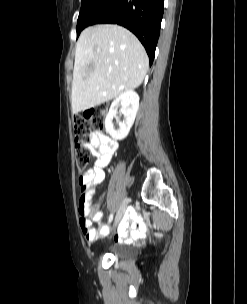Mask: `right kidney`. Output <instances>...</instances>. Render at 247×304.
<instances>
[{
	"mask_svg": "<svg viewBox=\"0 0 247 304\" xmlns=\"http://www.w3.org/2000/svg\"><path fill=\"white\" fill-rule=\"evenodd\" d=\"M118 106L121 107L120 112L124 115V120L119 121V129H115L113 118L117 114ZM139 107V96L133 90H127L121 93L111 104L109 112L105 118V129L115 140H123L127 137L132 127L136 113Z\"/></svg>",
	"mask_w": 247,
	"mask_h": 304,
	"instance_id": "1",
	"label": "right kidney"
}]
</instances>
